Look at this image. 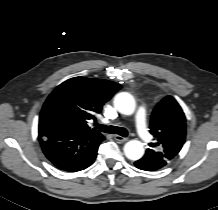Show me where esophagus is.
<instances>
[{
	"instance_id": "1",
	"label": "esophagus",
	"mask_w": 218,
	"mask_h": 210,
	"mask_svg": "<svg viewBox=\"0 0 218 210\" xmlns=\"http://www.w3.org/2000/svg\"><path fill=\"white\" fill-rule=\"evenodd\" d=\"M114 139H115L116 141L122 142V143L128 141V138L122 137V136H120V135H114Z\"/></svg>"
}]
</instances>
